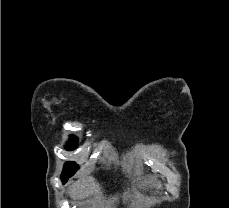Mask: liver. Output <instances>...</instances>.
<instances>
[{
    "label": "liver",
    "instance_id": "liver-1",
    "mask_svg": "<svg viewBox=\"0 0 229 208\" xmlns=\"http://www.w3.org/2000/svg\"><path fill=\"white\" fill-rule=\"evenodd\" d=\"M157 188H161V184H155ZM99 186H97L94 178L89 176V178H80L77 182L72 184L69 194L71 198H84V196H89V194H94V192H98Z\"/></svg>",
    "mask_w": 229,
    "mask_h": 208
}]
</instances>
